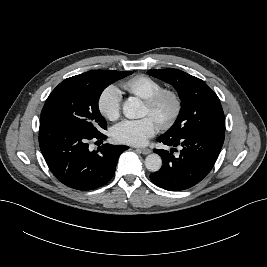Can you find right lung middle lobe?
Wrapping results in <instances>:
<instances>
[{
    "label": "right lung middle lobe",
    "mask_w": 267,
    "mask_h": 267,
    "mask_svg": "<svg viewBox=\"0 0 267 267\" xmlns=\"http://www.w3.org/2000/svg\"><path fill=\"white\" fill-rule=\"evenodd\" d=\"M132 72L99 70L89 76H73L62 81L49 95L41 119H50L90 135L107 128L98 101L102 91Z\"/></svg>",
    "instance_id": "right-lung-middle-lobe-1"
}]
</instances>
